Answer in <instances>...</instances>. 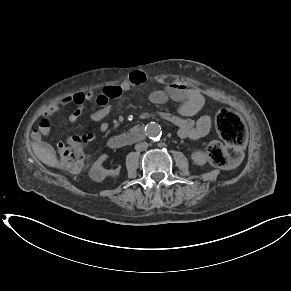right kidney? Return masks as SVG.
<instances>
[{
	"mask_svg": "<svg viewBox=\"0 0 291 291\" xmlns=\"http://www.w3.org/2000/svg\"><path fill=\"white\" fill-rule=\"evenodd\" d=\"M106 159V155L100 156L90 169V177L97 182H101L106 176H116L119 174L120 169L107 170L102 167L103 161Z\"/></svg>",
	"mask_w": 291,
	"mask_h": 291,
	"instance_id": "ca27d5eb",
	"label": "right kidney"
}]
</instances>
